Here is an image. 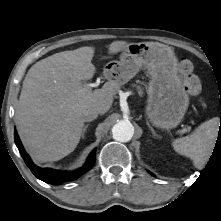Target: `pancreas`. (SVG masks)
Returning a JSON list of instances; mask_svg holds the SVG:
<instances>
[{
  "label": "pancreas",
  "mask_w": 221,
  "mask_h": 221,
  "mask_svg": "<svg viewBox=\"0 0 221 221\" xmlns=\"http://www.w3.org/2000/svg\"><path fill=\"white\" fill-rule=\"evenodd\" d=\"M137 89H138V93L141 95L142 94L141 88L137 87Z\"/></svg>",
  "instance_id": "pancreas-1"
}]
</instances>
